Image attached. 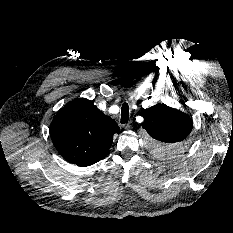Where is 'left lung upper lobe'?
I'll return each instance as SVG.
<instances>
[{"label":"left lung upper lobe","instance_id":"1","mask_svg":"<svg viewBox=\"0 0 233 233\" xmlns=\"http://www.w3.org/2000/svg\"><path fill=\"white\" fill-rule=\"evenodd\" d=\"M142 127L149 134V142L155 151L174 155L184 150L192 120L179 110L157 104L145 109Z\"/></svg>","mask_w":233,"mask_h":233}]
</instances>
